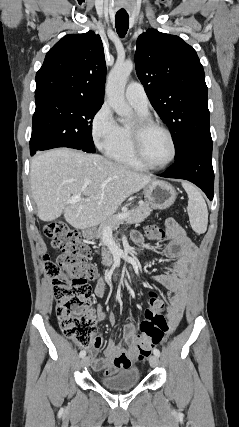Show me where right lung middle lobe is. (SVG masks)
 <instances>
[{
	"label": "right lung middle lobe",
	"instance_id": "1",
	"mask_svg": "<svg viewBox=\"0 0 239 427\" xmlns=\"http://www.w3.org/2000/svg\"><path fill=\"white\" fill-rule=\"evenodd\" d=\"M102 104L71 99L36 100L30 153L56 147L94 153L92 119Z\"/></svg>",
	"mask_w": 239,
	"mask_h": 427
}]
</instances>
